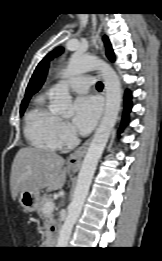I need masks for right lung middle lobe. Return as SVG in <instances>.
<instances>
[{
	"label": "right lung middle lobe",
	"instance_id": "obj_1",
	"mask_svg": "<svg viewBox=\"0 0 162 261\" xmlns=\"http://www.w3.org/2000/svg\"><path fill=\"white\" fill-rule=\"evenodd\" d=\"M29 100L23 101L20 108V114L23 115Z\"/></svg>",
	"mask_w": 162,
	"mask_h": 261
}]
</instances>
